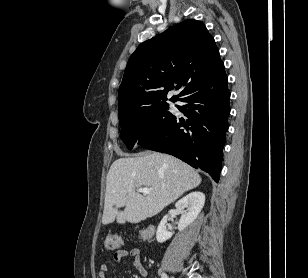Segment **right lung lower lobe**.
Segmentation results:
<instances>
[{
    "mask_svg": "<svg viewBox=\"0 0 308 278\" xmlns=\"http://www.w3.org/2000/svg\"><path fill=\"white\" fill-rule=\"evenodd\" d=\"M228 78L184 97L179 110L186 121L176 116L142 147L171 154L194 168H200L219 181L222 148L230 113Z\"/></svg>",
    "mask_w": 308,
    "mask_h": 278,
    "instance_id": "1",
    "label": "right lung lower lobe"
}]
</instances>
